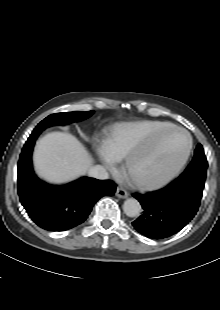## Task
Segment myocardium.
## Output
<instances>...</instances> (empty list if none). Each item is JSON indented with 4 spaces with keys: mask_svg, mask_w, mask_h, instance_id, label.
I'll return each mask as SVG.
<instances>
[{
    "mask_svg": "<svg viewBox=\"0 0 220 310\" xmlns=\"http://www.w3.org/2000/svg\"><path fill=\"white\" fill-rule=\"evenodd\" d=\"M168 130H176V131L184 133L187 136L188 146H187L184 156L182 157L178 165L170 173H168L166 176L160 179L148 180V179H144L138 176L134 171V163L136 159L140 157L143 152L144 153L150 152L153 148L147 149V147H149L150 144L154 143L164 132ZM192 148H193V140H192L190 133L186 129L180 126H177V125L166 126L158 130L157 132H155L143 146L136 148L135 150H133L131 153L127 155L123 163V172L130 179L132 184L139 189L153 190V189L161 188L169 184L172 180H174L180 174V172L182 171V169L184 168V166L186 165L190 157Z\"/></svg>",
    "mask_w": 220,
    "mask_h": 310,
    "instance_id": "obj_1",
    "label": "myocardium"
}]
</instances>
